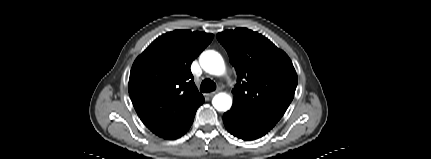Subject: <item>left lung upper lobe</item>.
<instances>
[{
	"mask_svg": "<svg viewBox=\"0 0 431 159\" xmlns=\"http://www.w3.org/2000/svg\"><path fill=\"white\" fill-rule=\"evenodd\" d=\"M237 72L232 108L276 124L291 103L297 74L290 58L270 40L247 28L217 34Z\"/></svg>",
	"mask_w": 431,
	"mask_h": 159,
	"instance_id": "left-lung-upper-lobe-1",
	"label": "left lung upper lobe"
}]
</instances>
